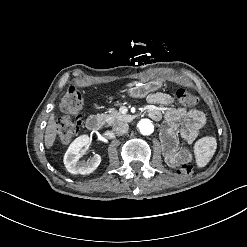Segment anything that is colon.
Listing matches in <instances>:
<instances>
[{"instance_id":"5ec220e1","label":"colon","mask_w":247,"mask_h":247,"mask_svg":"<svg viewBox=\"0 0 247 247\" xmlns=\"http://www.w3.org/2000/svg\"><path fill=\"white\" fill-rule=\"evenodd\" d=\"M179 103L185 105H197L198 99L192 93L184 89L176 90ZM83 105L82 94L74 87H70L62 98L60 110L63 116L58 121L57 138L62 143L72 141L78 133L81 124V110ZM201 119V118H200ZM175 170L179 174L189 175L192 173L191 165L181 159L174 161Z\"/></svg>"}]
</instances>
